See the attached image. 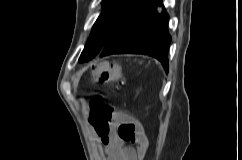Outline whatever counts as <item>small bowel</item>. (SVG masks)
<instances>
[{
  "mask_svg": "<svg viewBox=\"0 0 242 160\" xmlns=\"http://www.w3.org/2000/svg\"><path fill=\"white\" fill-rule=\"evenodd\" d=\"M123 125H134L132 140L123 138L121 133ZM98 134L108 160H139L148 149V138L142 126L126 113H115L108 129Z\"/></svg>",
  "mask_w": 242,
  "mask_h": 160,
  "instance_id": "small-bowel-1",
  "label": "small bowel"
}]
</instances>
